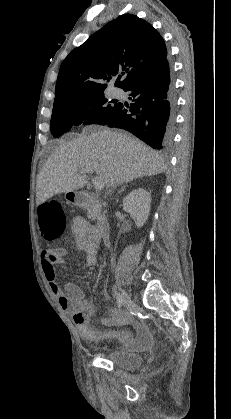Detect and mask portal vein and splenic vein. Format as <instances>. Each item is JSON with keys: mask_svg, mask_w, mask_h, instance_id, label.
Wrapping results in <instances>:
<instances>
[{"mask_svg": "<svg viewBox=\"0 0 231 419\" xmlns=\"http://www.w3.org/2000/svg\"><path fill=\"white\" fill-rule=\"evenodd\" d=\"M81 172L93 174L94 170L88 169V170H82ZM93 184L96 190H102L104 188V182L101 176L95 177Z\"/></svg>", "mask_w": 231, "mask_h": 419, "instance_id": "1", "label": "portal vein and splenic vein"}]
</instances>
